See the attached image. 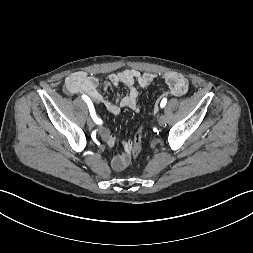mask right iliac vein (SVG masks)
I'll return each instance as SVG.
<instances>
[{"label": "right iliac vein", "instance_id": "obj_1", "mask_svg": "<svg viewBox=\"0 0 253 253\" xmlns=\"http://www.w3.org/2000/svg\"><path fill=\"white\" fill-rule=\"evenodd\" d=\"M87 124H88L89 127H94L95 126V123H94V121L92 120L91 117H89L87 119Z\"/></svg>", "mask_w": 253, "mask_h": 253}]
</instances>
